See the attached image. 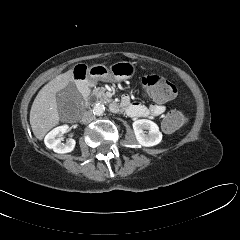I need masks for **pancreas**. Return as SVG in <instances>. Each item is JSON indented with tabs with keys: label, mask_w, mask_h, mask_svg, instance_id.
Returning a JSON list of instances; mask_svg holds the SVG:
<instances>
[{
	"label": "pancreas",
	"mask_w": 240,
	"mask_h": 240,
	"mask_svg": "<svg viewBox=\"0 0 240 240\" xmlns=\"http://www.w3.org/2000/svg\"><path fill=\"white\" fill-rule=\"evenodd\" d=\"M92 96H95L97 97L99 100H101L102 102H109V98L106 96L105 94V90L104 88H95L93 91H92ZM87 103L88 105H90V99L88 98L87 99Z\"/></svg>",
	"instance_id": "pancreas-1"
}]
</instances>
